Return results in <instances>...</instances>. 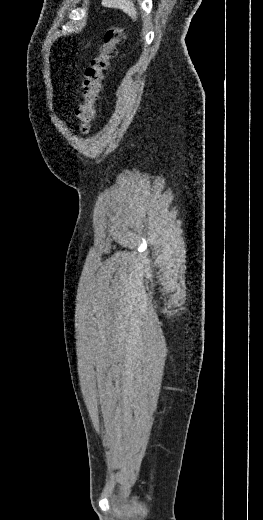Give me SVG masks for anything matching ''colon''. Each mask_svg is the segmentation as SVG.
Listing matches in <instances>:
<instances>
[{
  "label": "colon",
  "mask_w": 263,
  "mask_h": 520,
  "mask_svg": "<svg viewBox=\"0 0 263 520\" xmlns=\"http://www.w3.org/2000/svg\"><path fill=\"white\" fill-rule=\"evenodd\" d=\"M124 30L119 26H111L104 33L103 40L90 65L85 70L82 84L83 102L76 108L81 131L88 133L96 114V101L102 88L104 73L110 66V61L116 56L118 46L124 41Z\"/></svg>",
  "instance_id": "1"
}]
</instances>
